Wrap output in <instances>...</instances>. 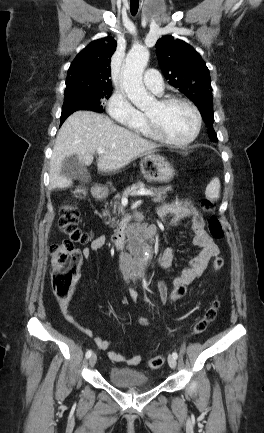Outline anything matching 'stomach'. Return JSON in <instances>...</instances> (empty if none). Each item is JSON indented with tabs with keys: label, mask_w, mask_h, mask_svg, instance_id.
I'll list each match as a JSON object with an SVG mask.
<instances>
[{
	"label": "stomach",
	"mask_w": 264,
	"mask_h": 433,
	"mask_svg": "<svg viewBox=\"0 0 264 433\" xmlns=\"http://www.w3.org/2000/svg\"><path fill=\"white\" fill-rule=\"evenodd\" d=\"M140 169L146 180L150 182L168 183L175 175V170L164 157L146 154L140 161Z\"/></svg>",
	"instance_id": "obj_1"
}]
</instances>
